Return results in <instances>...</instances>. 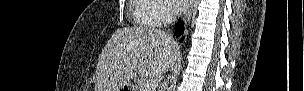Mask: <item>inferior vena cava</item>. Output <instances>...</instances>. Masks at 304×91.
I'll use <instances>...</instances> for the list:
<instances>
[{"mask_svg": "<svg viewBox=\"0 0 304 91\" xmlns=\"http://www.w3.org/2000/svg\"><path fill=\"white\" fill-rule=\"evenodd\" d=\"M169 36H170L171 39H173L171 34H169ZM166 85H167V82L165 81V82L163 83V87L165 88Z\"/></svg>", "mask_w": 304, "mask_h": 91, "instance_id": "obj_1", "label": "inferior vena cava"}]
</instances>
